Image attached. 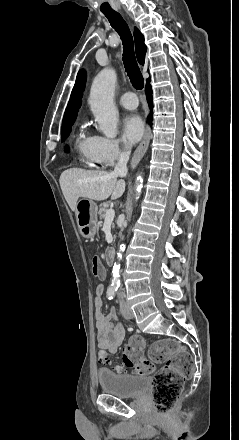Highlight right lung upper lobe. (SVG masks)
Segmentation results:
<instances>
[{"mask_svg": "<svg viewBox=\"0 0 239 440\" xmlns=\"http://www.w3.org/2000/svg\"><path fill=\"white\" fill-rule=\"evenodd\" d=\"M134 40H135V50H136L137 59L140 64H144L145 53L147 48L144 43V37L142 33L136 27L134 28ZM85 81H86V73L84 70H80L78 72L74 88L71 92L68 106L65 110L62 127L75 121L77 117L78 109L81 106L80 100L82 98V94L85 88Z\"/></svg>", "mask_w": 239, "mask_h": 440, "instance_id": "obj_1", "label": "right lung upper lobe"}]
</instances>
